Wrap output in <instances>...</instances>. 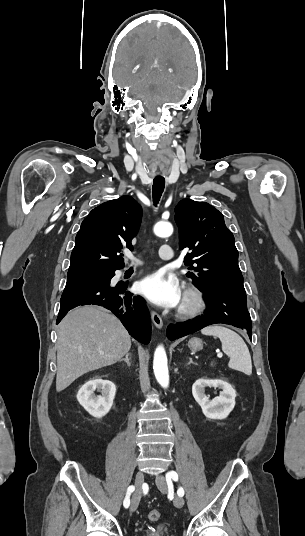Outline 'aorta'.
Masks as SVG:
<instances>
[{
    "label": "aorta",
    "instance_id": "aorta-1",
    "mask_svg": "<svg viewBox=\"0 0 305 536\" xmlns=\"http://www.w3.org/2000/svg\"><path fill=\"white\" fill-rule=\"evenodd\" d=\"M154 233L159 237H169L173 233V226L169 222H158L154 226ZM153 370L158 383L163 388H167L169 372L166 351L162 345H159L154 352Z\"/></svg>",
    "mask_w": 305,
    "mask_h": 536
}]
</instances>
